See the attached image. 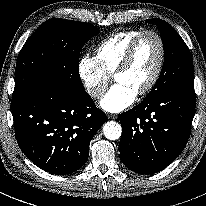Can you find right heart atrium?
<instances>
[{
  "mask_svg": "<svg viewBox=\"0 0 206 206\" xmlns=\"http://www.w3.org/2000/svg\"><path fill=\"white\" fill-rule=\"evenodd\" d=\"M78 74L89 96L98 99L105 93L110 76L96 57L83 56L79 61Z\"/></svg>",
  "mask_w": 206,
  "mask_h": 206,
  "instance_id": "obj_1",
  "label": "right heart atrium"
}]
</instances>
